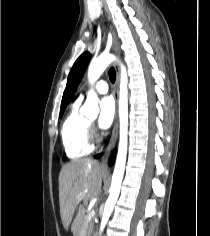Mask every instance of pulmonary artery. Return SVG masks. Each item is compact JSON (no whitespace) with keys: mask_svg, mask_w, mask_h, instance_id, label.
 <instances>
[{"mask_svg":"<svg viewBox=\"0 0 210 236\" xmlns=\"http://www.w3.org/2000/svg\"><path fill=\"white\" fill-rule=\"evenodd\" d=\"M108 84L106 81H99L96 83V85L94 86V91L99 93V94H104L108 91ZM88 94V91H85L84 93H82L78 100L82 101Z\"/></svg>","mask_w":210,"mask_h":236,"instance_id":"e3ab8cb5","label":"pulmonary artery"}]
</instances>
